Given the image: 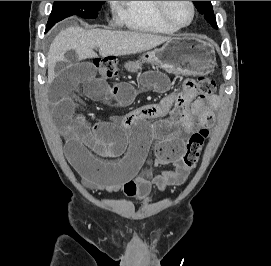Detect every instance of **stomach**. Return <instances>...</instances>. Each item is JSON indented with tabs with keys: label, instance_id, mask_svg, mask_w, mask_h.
Here are the masks:
<instances>
[{
	"label": "stomach",
	"instance_id": "1",
	"mask_svg": "<svg viewBox=\"0 0 271 266\" xmlns=\"http://www.w3.org/2000/svg\"><path fill=\"white\" fill-rule=\"evenodd\" d=\"M156 65L175 75L199 76L212 72L216 66L214 47L198 37L183 36L168 40L164 45L144 53L139 61L129 62V71L137 72L142 63Z\"/></svg>",
	"mask_w": 271,
	"mask_h": 266
}]
</instances>
